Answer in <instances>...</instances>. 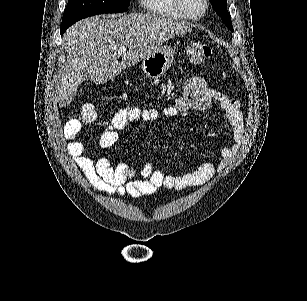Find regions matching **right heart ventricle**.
Segmentation results:
<instances>
[{"label":"right heart ventricle","instance_id":"right-heart-ventricle-1","mask_svg":"<svg viewBox=\"0 0 307 301\" xmlns=\"http://www.w3.org/2000/svg\"><path fill=\"white\" fill-rule=\"evenodd\" d=\"M147 4V12L153 13V17H181V10L172 9L175 0H144Z\"/></svg>","mask_w":307,"mask_h":301}]
</instances>
